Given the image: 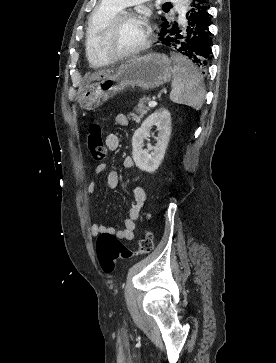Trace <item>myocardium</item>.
<instances>
[{"instance_id": "1", "label": "myocardium", "mask_w": 276, "mask_h": 363, "mask_svg": "<svg viewBox=\"0 0 276 363\" xmlns=\"http://www.w3.org/2000/svg\"><path fill=\"white\" fill-rule=\"evenodd\" d=\"M127 19H139L143 22L146 28V34L143 39V41L134 49L122 52V53H115L113 52L107 43L108 38L114 33V31L117 29V27L125 20ZM152 29L150 26V23L148 21V17L145 13L139 12L133 9H126V10H120L115 14V16L108 21V23L103 28L101 34H100V46L103 51V53L111 60V61H117V60H123L127 59L136 55L141 54L144 52L148 46L151 43L152 40Z\"/></svg>"}]
</instances>
